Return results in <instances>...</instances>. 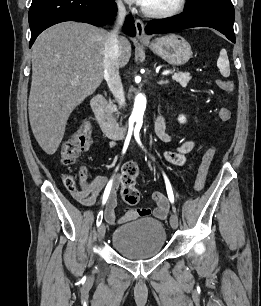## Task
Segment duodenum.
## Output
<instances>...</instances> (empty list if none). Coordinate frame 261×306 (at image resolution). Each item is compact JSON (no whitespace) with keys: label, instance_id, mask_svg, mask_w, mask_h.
Returning a JSON list of instances; mask_svg holds the SVG:
<instances>
[{"label":"duodenum","instance_id":"410a0bca","mask_svg":"<svg viewBox=\"0 0 261 306\" xmlns=\"http://www.w3.org/2000/svg\"><path fill=\"white\" fill-rule=\"evenodd\" d=\"M91 107L102 131L112 139H120L126 133V126L120 124L111 114L104 96L96 95L91 101Z\"/></svg>","mask_w":261,"mask_h":306}]
</instances>
